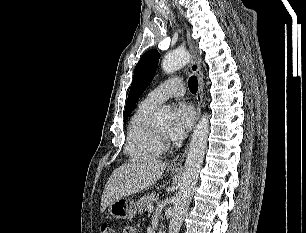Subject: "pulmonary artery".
Here are the masks:
<instances>
[{
    "label": "pulmonary artery",
    "instance_id": "pulmonary-artery-1",
    "mask_svg": "<svg viewBox=\"0 0 306 233\" xmlns=\"http://www.w3.org/2000/svg\"><path fill=\"white\" fill-rule=\"evenodd\" d=\"M185 94V88L181 79L178 77L171 78L154 90H152L145 98V101L152 105H160L164 101L172 97H179Z\"/></svg>",
    "mask_w": 306,
    "mask_h": 233
}]
</instances>
